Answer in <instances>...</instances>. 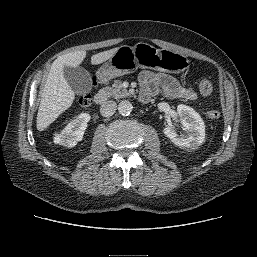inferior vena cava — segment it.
Listing matches in <instances>:
<instances>
[{
    "mask_svg": "<svg viewBox=\"0 0 257 257\" xmlns=\"http://www.w3.org/2000/svg\"><path fill=\"white\" fill-rule=\"evenodd\" d=\"M117 108V104L115 101H106L101 105L100 113L104 117L112 116Z\"/></svg>",
    "mask_w": 257,
    "mask_h": 257,
    "instance_id": "inferior-vena-cava-1",
    "label": "inferior vena cava"
}]
</instances>
